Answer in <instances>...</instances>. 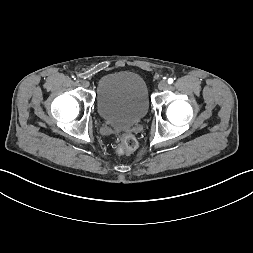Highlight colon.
Segmentation results:
<instances>
[{
    "label": "colon",
    "mask_w": 253,
    "mask_h": 253,
    "mask_svg": "<svg viewBox=\"0 0 253 253\" xmlns=\"http://www.w3.org/2000/svg\"><path fill=\"white\" fill-rule=\"evenodd\" d=\"M136 148V138L132 134H123L118 140L116 151L119 155H125L133 152Z\"/></svg>",
    "instance_id": "1"
}]
</instances>
